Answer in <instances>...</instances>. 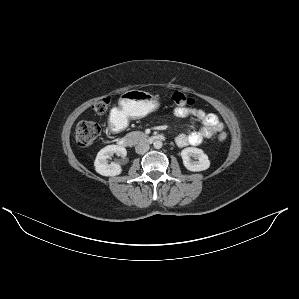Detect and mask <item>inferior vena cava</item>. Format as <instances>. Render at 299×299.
I'll return each mask as SVG.
<instances>
[{"label":"inferior vena cava","mask_w":299,"mask_h":299,"mask_svg":"<svg viewBox=\"0 0 299 299\" xmlns=\"http://www.w3.org/2000/svg\"><path fill=\"white\" fill-rule=\"evenodd\" d=\"M150 146L148 143H139L136 147H135V151L138 154H144L145 152H147L149 150Z\"/></svg>","instance_id":"inferior-vena-cava-1"}]
</instances>
